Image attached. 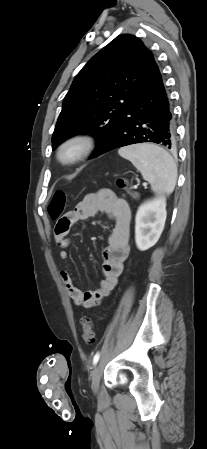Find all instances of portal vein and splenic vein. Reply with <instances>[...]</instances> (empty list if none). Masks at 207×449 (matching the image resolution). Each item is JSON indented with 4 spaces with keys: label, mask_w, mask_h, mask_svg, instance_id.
Here are the masks:
<instances>
[{
    "label": "portal vein and splenic vein",
    "mask_w": 207,
    "mask_h": 449,
    "mask_svg": "<svg viewBox=\"0 0 207 449\" xmlns=\"http://www.w3.org/2000/svg\"><path fill=\"white\" fill-rule=\"evenodd\" d=\"M143 185H144V186H147V184H146V183H143Z\"/></svg>",
    "instance_id": "portal-vein-and-splenic-vein-1"
}]
</instances>
